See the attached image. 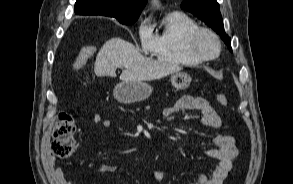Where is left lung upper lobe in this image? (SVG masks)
Listing matches in <instances>:
<instances>
[{"label":"left lung upper lobe","instance_id":"left-lung-upper-lobe-1","mask_svg":"<svg viewBox=\"0 0 293 184\" xmlns=\"http://www.w3.org/2000/svg\"><path fill=\"white\" fill-rule=\"evenodd\" d=\"M181 7L209 25L231 49V40L224 31L219 4L216 0H184Z\"/></svg>","mask_w":293,"mask_h":184}]
</instances>
